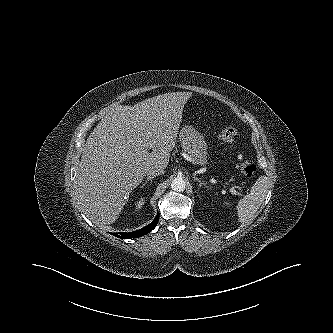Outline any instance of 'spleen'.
Wrapping results in <instances>:
<instances>
[{"mask_svg": "<svg viewBox=\"0 0 333 333\" xmlns=\"http://www.w3.org/2000/svg\"><path fill=\"white\" fill-rule=\"evenodd\" d=\"M269 181L266 176L259 177L251 187L250 193L238 202V220L241 223L250 222L264 201L269 189Z\"/></svg>", "mask_w": 333, "mask_h": 333, "instance_id": "obj_1", "label": "spleen"}]
</instances>
